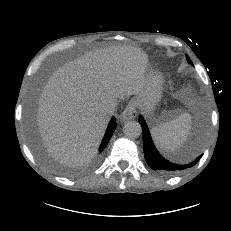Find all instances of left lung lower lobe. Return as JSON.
<instances>
[{
  "mask_svg": "<svg viewBox=\"0 0 231 231\" xmlns=\"http://www.w3.org/2000/svg\"><path fill=\"white\" fill-rule=\"evenodd\" d=\"M139 122L143 128V148L145 160L148 166L151 167L153 170H157L158 172L166 175L177 174L187 168L194 166L202 157V155H200L189 164H179L164 159L154 147L148 127L142 117L139 119Z\"/></svg>",
  "mask_w": 231,
  "mask_h": 231,
  "instance_id": "1",
  "label": "left lung lower lobe"
}]
</instances>
